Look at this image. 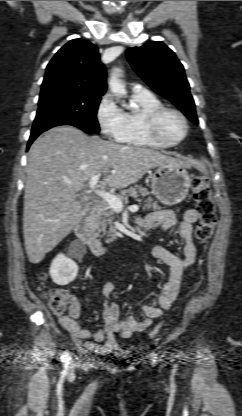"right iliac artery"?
Instances as JSON below:
<instances>
[{
	"mask_svg": "<svg viewBox=\"0 0 242 416\" xmlns=\"http://www.w3.org/2000/svg\"><path fill=\"white\" fill-rule=\"evenodd\" d=\"M68 360H69V353H68V351H65L63 353V355L61 356V361L65 366H67L68 365Z\"/></svg>",
	"mask_w": 242,
	"mask_h": 416,
	"instance_id": "right-iliac-artery-1",
	"label": "right iliac artery"
}]
</instances>
